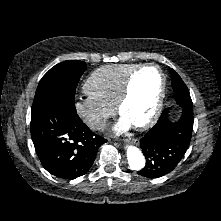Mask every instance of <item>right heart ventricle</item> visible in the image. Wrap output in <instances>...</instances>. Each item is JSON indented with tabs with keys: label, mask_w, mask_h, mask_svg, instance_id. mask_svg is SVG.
Returning <instances> with one entry per match:
<instances>
[{
	"label": "right heart ventricle",
	"mask_w": 221,
	"mask_h": 221,
	"mask_svg": "<svg viewBox=\"0 0 221 221\" xmlns=\"http://www.w3.org/2000/svg\"><path fill=\"white\" fill-rule=\"evenodd\" d=\"M139 64H114L96 69L84 83V92L87 96L114 107L120 97L128 75Z\"/></svg>",
	"instance_id": "obj_1"
}]
</instances>
